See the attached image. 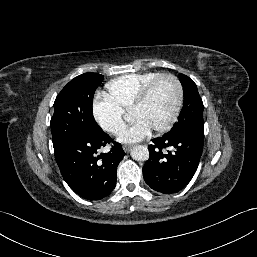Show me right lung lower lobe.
<instances>
[{
  "instance_id": "obj_1",
  "label": "right lung lower lobe",
  "mask_w": 257,
  "mask_h": 257,
  "mask_svg": "<svg viewBox=\"0 0 257 257\" xmlns=\"http://www.w3.org/2000/svg\"><path fill=\"white\" fill-rule=\"evenodd\" d=\"M112 142L108 134L94 139L72 138L54 147L61 174L71 189L88 200H98L111 193L116 185V169L125 152L113 142L108 153L97 150Z\"/></svg>"
}]
</instances>
